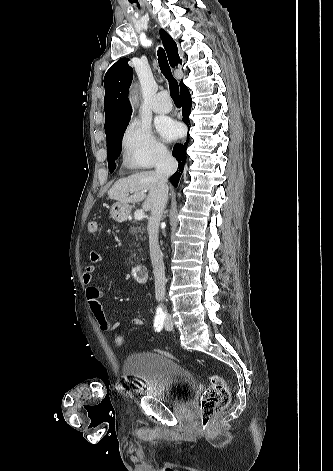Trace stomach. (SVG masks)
Instances as JSON below:
<instances>
[{
  "instance_id": "0dacf381",
  "label": "stomach",
  "mask_w": 333,
  "mask_h": 471,
  "mask_svg": "<svg viewBox=\"0 0 333 471\" xmlns=\"http://www.w3.org/2000/svg\"><path fill=\"white\" fill-rule=\"evenodd\" d=\"M130 207L128 204H122L119 202L114 203L110 209V216L117 222H123L127 219Z\"/></svg>"
}]
</instances>
